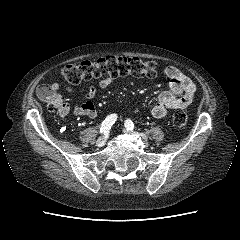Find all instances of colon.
I'll use <instances>...</instances> for the list:
<instances>
[{
    "mask_svg": "<svg viewBox=\"0 0 240 240\" xmlns=\"http://www.w3.org/2000/svg\"><path fill=\"white\" fill-rule=\"evenodd\" d=\"M157 64L154 61H144L135 57L107 56L94 61H83L68 65L63 69V77L69 84L77 85L83 81L97 78H116L136 76L154 78L157 76ZM39 97L47 104L49 110H59L62 99L57 90L49 84L38 88ZM176 127H185L189 117L186 112L178 111L173 115Z\"/></svg>",
    "mask_w": 240,
    "mask_h": 240,
    "instance_id": "colon-1",
    "label": "colon"
}]
</instances>
